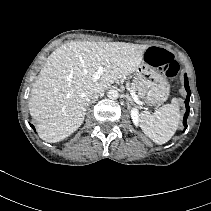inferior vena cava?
Returning a JSON list of instances; mask_svg holds the SVG:
<instances>
[{"label": "inferior vena cava", "instance_id": "obj_1", "mask_svg": "<svg viewBox=\"0 0 211 211\" xmlns=\"http://www.w3.org/2000/svg\"><path fill=\"white\" fill-rule=\"evenodd\" d=\"M103 93H104V91L98 90V91H96V92H94V93L92 94L91 99H97V98H99L100 96H102Z\"/></svg>", "mask_w": 211, "mask_h": 211}]
</instances>
